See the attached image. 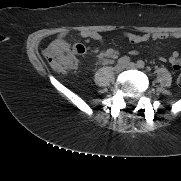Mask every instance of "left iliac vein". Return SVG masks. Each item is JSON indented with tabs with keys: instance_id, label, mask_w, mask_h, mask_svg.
I'll return each mask as SVG.
<instances>
[{
	"instance_id": "1",
	"label": "left iliac vein",
	"mask_w": 181,
	"mask_h": 181,
	"mask_svg": "<svg viewBox=\"0 0 181 181\" xmlns=\"http://www.w3.org/2000/svg\"><path fill=\"white\" fill-rule=\"evenodd\" d=\"M126 68H136V67H138L135 63H133V62H130V63H128L126 66H125Z\"/></svg>"
}]
</instances>
